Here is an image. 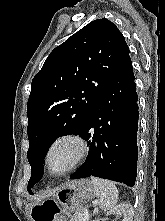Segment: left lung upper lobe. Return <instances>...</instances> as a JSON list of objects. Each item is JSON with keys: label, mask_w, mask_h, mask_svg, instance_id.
<instances>
[{"label": "left lung upper lobe", "mask_w": 165, "mask_h": 221, "mask_svg": "<svg viewBox=\"0 0 165 221\" xmlns=\"http://www.w3.org/2000/svg\"><path fill=\"white\" fill-rule=\"evenodd\" d=\"M130 59L117 26L107 19L90 22L56 47L35 75L28 99V191L42 178L51 144L77 135L108 84Z\"/></svg>", "instance_id": "1"}]
</instances>
